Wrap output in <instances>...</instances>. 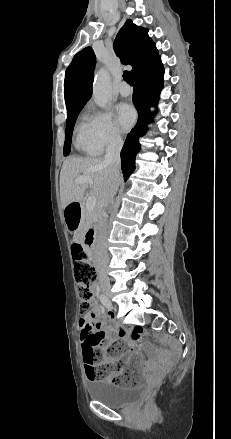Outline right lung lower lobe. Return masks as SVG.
I'll return each instance as SVG.
<instances>
[{
	"mask_svg": "<svg viewBox=\"0 0 231 439\" xmlns=\"http://www.w3.org/2000/svg\"><path fill=\"white\" fill-rule=\"evenodd\" d=\"M164 69L159 57L152 65L134 76L133 103L138 111V121L128 134L121 151V168L127 181L135 169V157L140 149L139 138L146 133L147 123L153 114L149 107L155 106L163 87Z\"/></svg>",
	"mask_w": 231,
	"mask_h": 439,
	"instance_id": "1",
	"label": "right lung lower lobe"
}]
</instances>
